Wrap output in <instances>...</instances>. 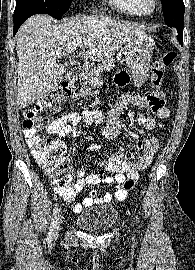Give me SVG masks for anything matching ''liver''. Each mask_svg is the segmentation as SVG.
<instances>
[{"label": "liver", "mask_w": 195, "mask_h": 270, "mask_svg": "<svg viewBox=\"0 0 195 270\" xmlns=\"http://www.w3.org/2000/svg\"><path fill=\"white\" fill-rule=\"evenodd\" d=\"M143 34L145 30L137 25L104 15L64 23L48 15L29 18L17 33L18 107L25 108L61 83L65 67L59 59L74 53L77 40L82 39L87 59L100 61L115 55L131 37Z\"/></svg>", "instance_id": "1"}]
</instances>
